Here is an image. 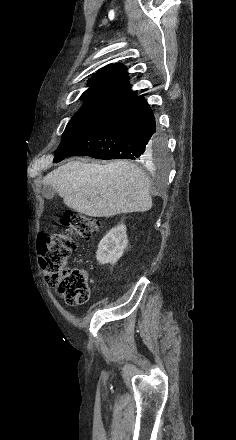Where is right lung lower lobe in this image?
<instances>
[{"mask_svg": "<svg viewBox=\"0 0 236 440\" xmlns=\"http://www.w3.org/2000/svg\"><path fill=\"white\" fill-rule=\"evenodd\" d=\"M156 122L143 95L113 108L55 152L54 162L68 156L132 159L146 162L155 148Z\"/></svg>", "mask_w": 236, "mask_h": 440, "instance_id": "obj_1", "label": "right lung lower lobe"}]
</instances>
